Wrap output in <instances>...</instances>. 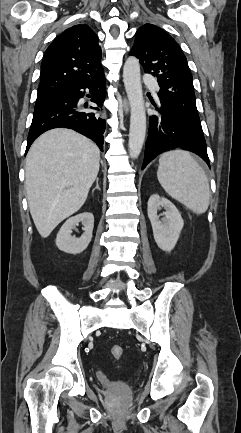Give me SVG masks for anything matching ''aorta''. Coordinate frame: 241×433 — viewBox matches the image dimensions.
Returning <instances> with one entry per match:
<instances>
[{
    "label": "aorta",
    "mask_w": 241,
    "mask_h": 433,
    "mask_svg": "<svg viewBox=\"0 0 241 433\" xmlns=\"http://www.w3.org/2000/svg\"><path fill=\"white\" fill-rule=\"evenodd\" d=\"M123 81L130 103L129 155L139 156L146 135V113L141 85L140 63L135 57H129L123 68Z\"/></svg>",
    "instance_id": "obj_1"
}]
</instances>
